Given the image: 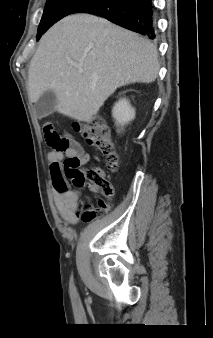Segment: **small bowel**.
Instances as JSON below:
<instances>
[{"instance_id": "small-bowel-1", "label": "small bowel", "mask_w": 213, "mask_h": 338, "mask_svg": "<svg viewBox=\"0 0 213 338\" xmlns=\"http://www.w3.org/2000/svg\"><path fill=\"white\" fill-rule=\"evenodd\" d=\"M43 131L48 148L47 159L50 162L59 163L63 158L73 156L77 157L82 163L90 159V155L83 152L79 142L74 140L68 133L64 135L59 134L55 130L53 123H46ZM62 137L68 138L70 142V148L64 152L57 150V146ZM53 201L61 218L71 223L76 222L81 213L83 214L82 216H84L88 212L87 199L82 197V194L78 191L57 189L54 191Z\"/></svg>"}]
</instances>
